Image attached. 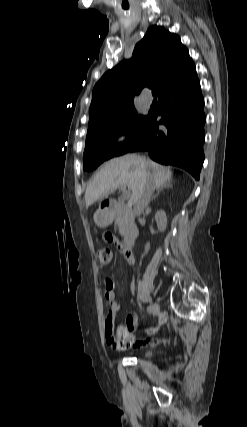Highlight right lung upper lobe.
<instances>
[{"mask_svg":"<svg viewBox=\"0 0 247 427\" xmlns=\"http://www.w3.org/2000/svg\"><path fill=\"white\" fill-rule=\"evenodd\" d=\"M193 67L179 36L151 26L136 44L131 59L108 70L94 86L88 129L109 122L134 106L135 94L144 87H154L159 97Z\"/></svg>","mask_w":247,"mask_h":427,"instance_id":"right-lung-upper-lobe-1","label":"right lung upper lobe"}]
</instances>
